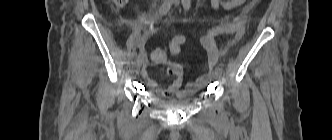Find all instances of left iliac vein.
<instances>
[{"instance_id": "1", "label": "left iliac vein", "mask_w": 332, "mask_h": 140, "mask_svg": "<svg viewBox=\"0 0 332 140\" xmlns=\"http://www.w3.org/2000/svg\"><path fill=\"white\" fill-rule=\"evenodd\" d=\"M174 4H175V5H178V4H179V0H174ZM219 76H220V73L217 72V71L215 70V72H214V77H215L216 79H218Z\"/></svg>"}]
</instances>
